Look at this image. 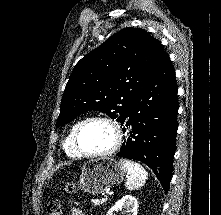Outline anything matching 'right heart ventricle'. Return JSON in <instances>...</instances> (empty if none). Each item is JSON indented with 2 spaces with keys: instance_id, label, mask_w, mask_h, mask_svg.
Wrapping results in <instances>:
<instances>
[{
  "instance_id": "right-heart-ventricle-1",
  "label": "right heart ventricle",
  "mask_w": 221,
  "mask_h": 215,
  "mask_svg": "<svg viewBox=\"0 0 221 215\" xmlns=\"http://www.w3.org/2000/svg\"><path fill=\"white\" fill-rule=\"evenodd\" d=\"M82 121L83 120H81V119L77 120L70 126V128L68 129V131L66 133L64 143H63L65 153L68 156L73 157V158L80 156L74 147L73 136H74L76 128L79 126V124Z\"/></svg>"
}]
</instances>
